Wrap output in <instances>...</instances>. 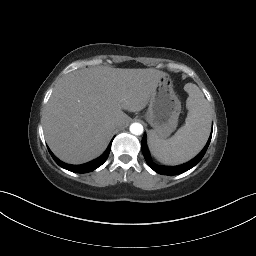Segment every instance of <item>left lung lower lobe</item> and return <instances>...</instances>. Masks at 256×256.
Instances as JSON below:
<instances>
[{"instance_id": "obj_1", "label": "left lung lower lobe", "mask_w": 256, "mask_h": 256, "mask_svg": "<svg viewBox=\"0 0 256 256\" xmlns=\"http://www.w3.org/2000/svg\"><path fill=\"white\" fill-rule=\"evenodd\" d=\"M211 136H212V134H211ZM211 136H210L207 144L203 148V150L194 159H192L191 161H189L183 165H179V166H175V167L159 166L152 162L150 153H149V150H148L147 144H146V135L143 136V139L141 142L142 153L144 155V158H145L147 164L155 172L162 174V175H177V174L183 173V172L191 169L192 167H194L196 164L199 163V161L203 158L204 154L206 153V150H207L210 140H211Z\"/></svg>"}]
</instances>
